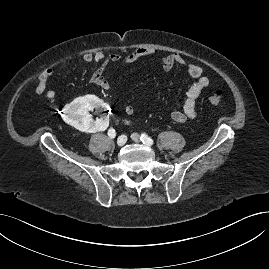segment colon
I'll return each mask as SVG.
<instances>
[{"label":"colon","instance_id":"5ec220e1","mask_svg":"<svg viewBox=\"0 0 269 269\" xmlns=\"http://www.w3.org/2000/svg\"><path fill=\"white\" fill-rule=\"evenodd\" d=\"M225 96L226 90L224 88H218L208 96V102L212 105H218L224 101Z\"/></svg>","mask_w":269,"mask_h":269}]
</instances>
